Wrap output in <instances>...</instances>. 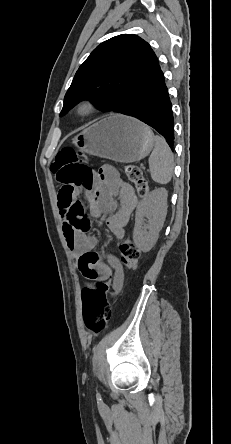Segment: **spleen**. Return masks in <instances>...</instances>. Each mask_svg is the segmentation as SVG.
Returning <instances> with one entry per match:
<instances>
[{"instance_id": "1", "label": "spleen", "mask_w": 231, "mask_h": 444, "mask_svg": "<svg viewBox=\"0 0 231 444\" xmlns=\"http://www.w3.org/2000/svg\"><path fill=\"white\" fill-rule=\"evenodd\" d=\"M154 142V149L149 157L151 177L159 184H167L173 174V154L162 137L154 136Z\"/></svg>"}]
</instances>
